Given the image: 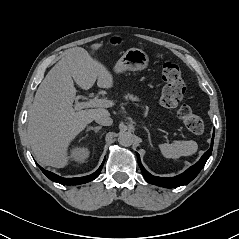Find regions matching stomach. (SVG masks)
<instances>
[{"label":"stomach","instance_id":"1","mask_svg":"<svg viewBox=\"0 0 239 239\" xmlns=\"http://www.w3.org/2000/svg\"><path fill=\"white\" fill-rule=\"evenodd\" d=\"M149 57L146 52L138 48L128 49L118 60L114 67V72L143 70L148 66Z\"/></svg>","mask_w":239,"mask_h":239}]
</instances>
